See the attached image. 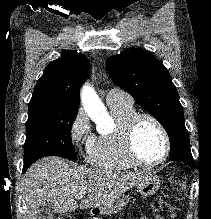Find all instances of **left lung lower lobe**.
<instances>
[{
	"mask_svg": "<svg viewBox=\"0 0 211 219\" xmlns=\"http://www.w3.org/2000/svg\"><path fill=\"white\" fill-rule=\"evenodd\" d=\"M172 161H179L189 165L192 169H194V160L191 154V150H183L178 152L175 155L170 156Z\"/></svg>",
	"mask_w": 211,
	"mask_h": 219,
	"instance_id": "1",
	"label": "left lung lower lobe"
}]
</instances>
